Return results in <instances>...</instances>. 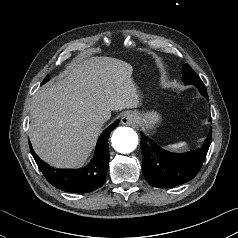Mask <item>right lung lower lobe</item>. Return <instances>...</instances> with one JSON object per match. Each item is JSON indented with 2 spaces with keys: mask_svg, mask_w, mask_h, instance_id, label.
Listing matches in <instances>:
<instances>
[{
  "mask_svg": "<svg viewBox=\"0 0 238 238\" xmlns=\"http://www.w3.org/2000/svg\"><path fill=\"white\" fill-rule=\"evenodd\" d=\"M118 125V120L110 125L100 136L91 162L81 169H55L44 163L34 152L31 153L48 182L54 187L72 193H88L101 187L106 180L109 151L108 138L110 132Z\"/></svg>",
  "mask_w": 238,
  "mask_h": 238,
  "instance_id": "right-lung-lower-lobe-1",
  "label": "right lung lower lobe"
}]
</instances>
